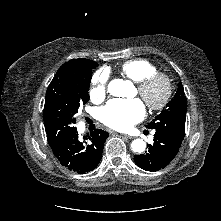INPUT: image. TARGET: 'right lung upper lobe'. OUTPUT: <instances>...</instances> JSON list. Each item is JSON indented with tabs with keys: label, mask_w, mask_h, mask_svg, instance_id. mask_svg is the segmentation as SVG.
Here are the masks:
<instances>
[{
	"label": "right lung upper lobe",
	"mask_w": 221,
	"mask_h": 221,
	"mask_svg": "<svg viewBox=\"0 0 221 221\" xmlns=\"http://www.w3.org/2000/svg\"><path fill=\"white\" fill-rule=\"evenodd\" d=\"M94 63V61H91L89 59H83V58H80V59H72L66 63H64L57 71L55 77H59L63 74V72L68 69L69 67H73V66H76V65H87V66H92Z\"/></svg>",
	"instance_id": "right-lung-upper-lobe-1"
}]
</instances>
